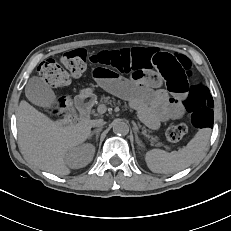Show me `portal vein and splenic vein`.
<instances>
[{
    "instance_id": "18ae733b",
    "label": "portal vein and splenic vein",
    "mask_w": 231,
    "mask_h": 231,
    "mask_svg": "<svg viewBox=\"0 0 231 231\" xmlns=\"http://www.w3.org/2000/svg\"><path fill=\"white\" fill-rule=\"evenodd\" d=\"M107 111V107L105 104H100L98 107H97V112L99 114H104L105 112Z\"/></svg>"
}]
</instances>
